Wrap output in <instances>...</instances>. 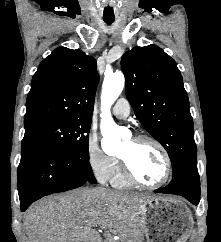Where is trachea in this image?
I'll use <instances>...</instances> for the list:
<instances>
[{"label":"trachea","mask_w":221,"mask_h":242,"mask_svg":"<svg viewBox=\"0 0 221 242\" xmlns=\"http://www.w3.org/2000/svg\"><path fill=\"white\" fill-rule=\"evenodd\" d=\"M104 22L107 23V24H112L114 22V19L104 18Z\"/></svg>","instance_id":"1"}]
</instances>
